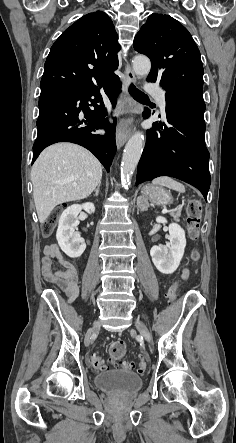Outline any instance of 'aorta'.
I'll return each mask as SVG.
<instances>
[{"mask_svg":"<svg viewBox=\"0 0 236 443\" xmlns=\"http://www.w3.org/2000/svg\"><path fill=\"white\" fill-rule=\"evenodd\" d=\"M133 70L137 75L147 76L151 69L150 60L143 55L134 57L132 61ZM144 147V135L135 132L125 146L121 164V177L125 184H129L137 164L140 160Z\"/></svg>","mask_w":236,"mask_h":443,"instance_id":"obj_1","label":"aorta"}]
</instances>
